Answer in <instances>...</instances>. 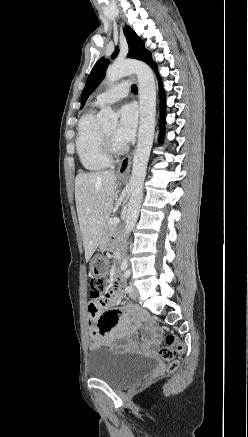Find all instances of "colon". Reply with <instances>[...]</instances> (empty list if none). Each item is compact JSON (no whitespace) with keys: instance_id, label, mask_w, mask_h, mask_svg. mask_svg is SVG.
Masks as SVG:
<instances>
[{"instance_id":"colon-1","label":"colon","mask_w":248,"mask_h":437,"mask_svg":"<svg viewBox=\"0 0 248 437\" xmlns=\"http://www.w3.org/2000/svg\"><path fill=\"white\" fill-rule=\"evenodd\" d=\"M110 279L104 276L102 279H97L94 276L90 278L89 293L94 300H100L109 293ZM183 344L173 335L165 336V345L160 349L161 358L168 363V371L173 372L179 366L177 356L183 352Z\"/></svg>"}]
</instances>
